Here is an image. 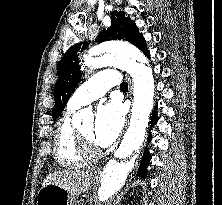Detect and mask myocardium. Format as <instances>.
Returning a JSON list of instances; mask_svg holds the SVG:
<instances>
[{
    "label": "myocardium",
    "mask_w": 222,
    "mask_h": 205,
    "mask_svg": "<svg viewBox=\"0 0 222 205\" xmlns=\"http://www.w3.org/2000/svg\"><path fill=\"white\" fill-rule=\"evenodd\" d=\"M75 136L79 151L86 160H94L100 157L101 150L93 142L84 137L80 130H75Z\"/></svg>",
    "instance_id": "myocardium-1"
}]
</instances>
